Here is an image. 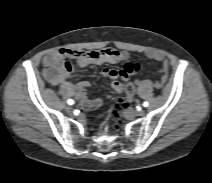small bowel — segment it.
<instances>
[{"mask_svg":"<svg viewBox=\"0 0 212 183\" xmlns=\"http://www.w3.org/2000/svg\"><path fill=\"white\" fill-rule=\"evenodd\" d=\"M146 56L155 61H162L161 68L162 82L166 81L168 75V65L165 61L164 55L159 51H148ZM129 58V53L120 51L114 48H105L102 50L93 51H79L68 48H63L52 52L44 58V76L52 85H59L63 81L72 77L71 70L66 69L67 59L75 60L78 68L85 67L90 64H115ZM140 65L138 63L128 62L120 69L105 68L102 75L111 80V87L114 93H119L123 90L124 82L127 81L131 75L138 72ZM121 78V81L118 80ZM88 81H82L78 84V96L83 98L86 94V89L89 87ZM98 103V100L95 101Z\"/></svg>","mask_w":212,"mask_h":183,"instance_id":"1","label":"small bowel"}]
</instances>
